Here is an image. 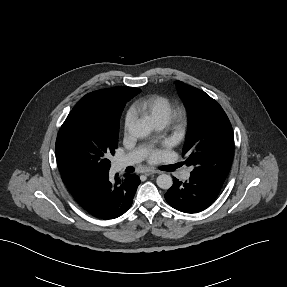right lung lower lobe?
I'll return each instance as SVG.
<instances>
[{
	"mask_svg": "<svg viewBox=\"0 0 287 287\" xmlns=\"http://www.w3.org/2000/svg\"><path fill=\"white\" fill-rule=\"evenodd\" d=\"M65 184L85 211L106 220L117 218L130 208L140 179L134 174H126L122 179L116 175L115 181H111L107 174L100 178H85Z\"/></svg>",
	"mask_w": 287,
	"mask_h": 287,
	"instance_id": "98d812e1",
	"label": "right lung lower lobe"
}]
</instances>
